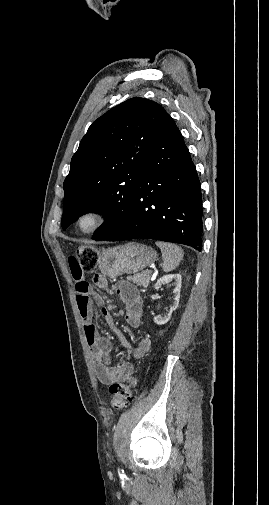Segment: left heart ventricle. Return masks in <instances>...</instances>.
<instances>
[{"instance_id":"1","label":"left heart ventricle","mask_w":269,"mask_h":505,"mask_svg":"<svg viewBox=\"0 0 269 505\" xmlns=\"http://www.w3.org/2000/svg\"><path fill=\"white\" fill-rule=\"evenodd\" d=\"M91 222L92 221L90 219H86V220L83 221L82 226L83 227H88L91 224Z\"/></svg>"}]
</instances>
